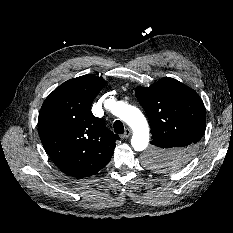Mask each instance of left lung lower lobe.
Listing matches in <instances>:
<instances>
[{"instance_id":"0a47b994","label":"left lung lower lobe","mask_w":233,"mask_h":233,"mask_svg":"<svg viewBox=\"0 0 233 233\" xmlns=\"http://www.w3.org/2000/svg\"><path fill=\"white\" fill-rule=\"evenodd\" d=\"M187 141L184 139H181L179 137H163L156 139V144L169 150V151H175L178 152L179 150L184 149L187 147ZM180 156L177 158L170 159V161L174 164L183 163L186 161L187 156L184 155V153H180Z\"/></svg>"}]
</instances>
